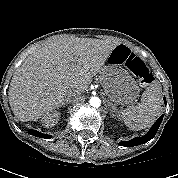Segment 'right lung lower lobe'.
I'll list each match as a JSON object with an SVG mask.
<instances>
[{"mask_svg": "<svg viewBox=\"0 0 178 178\" xmlns=\"http://www.w3.org/2000/svg\"><path fill=\"white\" fill-rule=\"evenodd\" d=\"M29 134L33 135V136H36V137H40V138H50L51 136L49 135H46V134H42L36 130H29Z\"/></svg>", "mask_w": 178, "mask_h": 178, "instance_id": "right-lung-lower-lobe-1", "label": "right lung lower lobe"}]
</instances>
